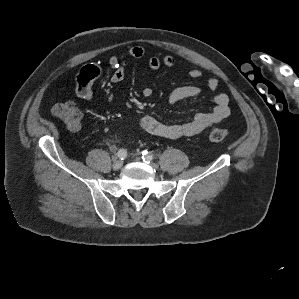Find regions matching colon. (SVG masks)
<instances>
[{
	"mask_svg": "<svg viewBox=\"0 0 299 299\" xmlns=\"http://www.w3.org/2000/svg\"><path fill=\"white\" fill-rule=\"evenodd\" d=\"M53 114L60 119L71 131H78L82 123V112L73 102L57 103L53 106ZM229 137V132L221 128H213L209 134V140L220 142Z\"/></svg>",
	"mask_w": 299,
	"mask_h": 299,
	"instance_id": "1",
	"label": "colon"
}]
</instances>
